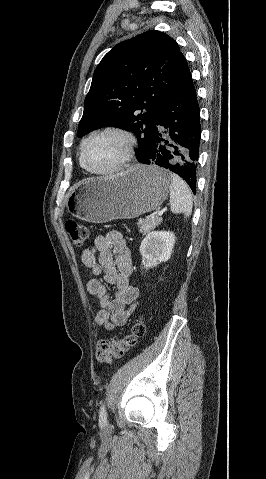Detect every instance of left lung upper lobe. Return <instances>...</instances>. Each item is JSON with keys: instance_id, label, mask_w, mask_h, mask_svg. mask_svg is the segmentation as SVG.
Masks as SVG:
<instances>
[{"instance_id": "5c2ea615", "label": "left lung upper lobe", "mask_w": 266, "mask_h": 479, "mask_svg": "<svg viewBox=\"0 0 266 479\" xmlns=\"http://www.w3.org/2000/svg\"><path fill=\"white\" fill-rule=\"evenodd\" d=\"M188 72L178 44L165 33L150 30L117 44L94 72L78 137L107 126L133 131L140 162L162 106Z\"/></svg>"}]
</instances>
